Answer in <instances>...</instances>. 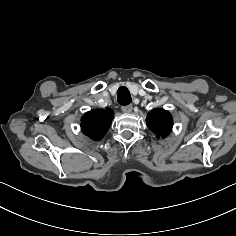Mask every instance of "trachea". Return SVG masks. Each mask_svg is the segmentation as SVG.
I'll use <instances>...</instances> for the list:
<instances>
[{"label": "trachea", "mask_w": 236, "mask_h": 236, "mask_svg": "<svg viewBox=\"0 0 236 236\" xmlns=\"http://www.w3.org/2000/svg\"><path fill=\"white\" fill-rule=\"evenodd\" d=\"M117 101L119 104L124 105V106L131 103L132 99H131L130 92L125 86H121L117 90Z\"/></svg>", "instance_id": "obj_1"}]
</instances>
